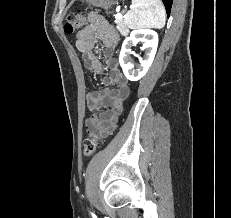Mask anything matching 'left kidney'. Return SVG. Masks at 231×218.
Segmentation results:
<instances>
[{
    "label": "left kidney",
    "mask_w": 231,
    "mask_h": 218,
    "mask_svg": "<svg viewBox=\"0 0 231 218\" xmlns=\"http://www.w3.org/2000/svg\"><path fill=\"white\" fill-rule=\"evenodd\" d=\"M138 42L143 43V50H146L144 58L139 57L140 66L134 69L130 58L131 47ZM158 46V34L151 29H135L127 37L121 48L119 63L124 75L131 81H137L143 77L150 68Z\"/></svg>",
    "instance_id": "left-kidney-1"
}]
</instances>
